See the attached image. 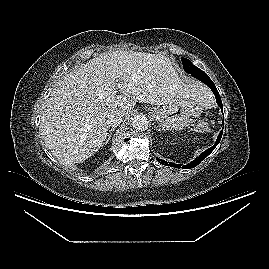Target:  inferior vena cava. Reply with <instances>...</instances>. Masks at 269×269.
Instances as JSON below:
<instances>
[{"instance_id":"1","label":"inferior vena cava","mask_w":269,"mask_h":269,"mask_svg":"<svg viewBox=\"0 0 269 269\" xmlns=\"http://www.w3.org/2000/svg\"><path fill=\"white\" fill-rule=\"evenodd\" d=\"M124 113L117 111V112H111L107 116V124L109 127H117L120 125L123 121Z\"/></svg>"}]
</instances>
